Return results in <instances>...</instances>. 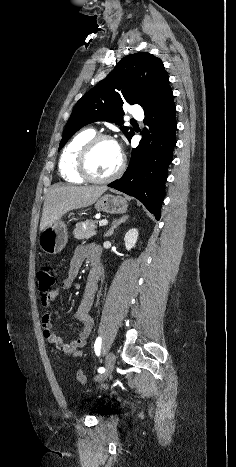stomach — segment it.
Instances as JSON below:
<instances>
[{"instance_id": "obj_1", "label": "stomach", "mask_w": 236, "mask_h": 467, "mask_svg": "<svg viewBox=\"0 0 236 467\" xmlns=\"http://www.w3.org/2000/svg\"><path fill=\"white\" fill-rule=\"evenodd\" d=\"M97 211L109 214H122L127 210V202L120 196L105 194L95 202ZM68 232L60 219L46 227L40 235V248L47 254L59 253L67 244Z\"/></svg>"}]
</instances>
